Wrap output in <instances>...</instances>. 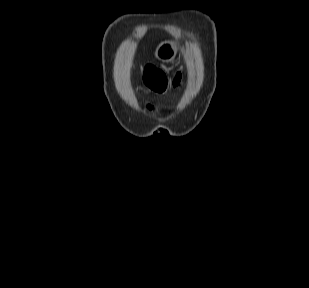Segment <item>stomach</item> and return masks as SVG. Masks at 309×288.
Masks as SVG:
<instances>
[{
    "label": "stomach",
    "instance_id": "stomach-1",
    "mask_svg": "<svg viewBox=\"0 0 309 288\" xmlns=\"http://www.w3.org/2000/svg\"><path fill=\"white\" fill-rule=\"evenodd\" d=\"M178 48L174 41H163L161 42L156 50H155V57L163 62H169L172 61L176 54H177Z\"/></svg>",
    "mask_w": 309,
    "mask_h": 288
}]
</instances>
